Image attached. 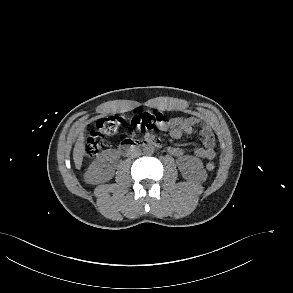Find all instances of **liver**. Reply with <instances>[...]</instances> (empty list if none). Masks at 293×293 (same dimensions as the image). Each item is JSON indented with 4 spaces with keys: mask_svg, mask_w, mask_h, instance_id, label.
Segmentation results:
<instances>
[{
    "mask_svg": "<svg viewBox=\"0 0 293 293\" xmlns=\"http://www.w3.org/2000/svg\"><path fill=\"white\" fill-rule=\"evenodd\" d=\"M84 153H85L84 135H83V132H81L77 138V141L75 143V147L73 149V160L75 163V167L77 169L81 168Z\"/></svg>",
    "mask_w": 293,
    "mask_h": 293,
    "instance_id": "obj_1",
    "label": "liver"
}]
</instances>
